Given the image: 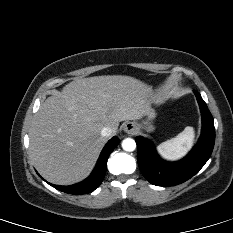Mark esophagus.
<instances>
[{
  "label": "esophagus",
  "instance_id": "1",
  "mask_svg": "<svg viewBox=\"0 0 233 233\" xmlns=\"http://www.w3.org/2000/svg\"><path fill=\"white\" fill-rule=\"evenodd\" d=\"M123 130L127 133V134H135L137 132V127L133 122H127L124 125Z\"/></svg>",
  "mask_w": 233,
  "mask_h": 233
}]
</instances>
